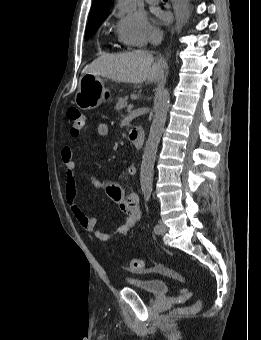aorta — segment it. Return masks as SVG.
Here are the masks:
<instances>
[{
    "instance_id": "1",
    "label": "aorta",
    "mask_w": 261,
    "mask_h": 340,
    "mask_svg": "<svg viewBox=\"0 0 261 340\" xmlns=\"http://www.w3.org/2000/svg\"><path fill=\"white\" fill-rule=\"evenodd\" d=\"M118 6L122 11L130 13L136 7V0H118ZM169 107L170 93L168 89H163L157 95V101L154 106V117L142 158L140 185L144 195H150L152 192L154 163Z\"/></svg>"
}]
</instances>
